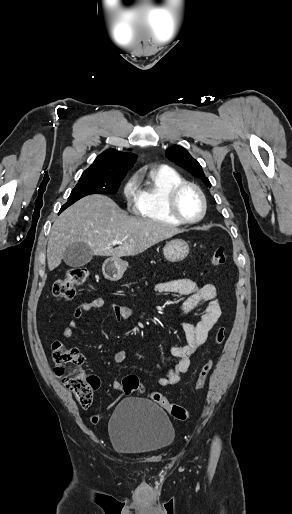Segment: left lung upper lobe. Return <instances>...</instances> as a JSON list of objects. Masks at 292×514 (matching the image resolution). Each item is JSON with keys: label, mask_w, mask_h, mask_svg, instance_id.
<instances>
[{"label": "left lung upper lobe", "mask_w": 292, "mask_h": 514, "mask_svg": "<svg viewBox=\"0 0 292 514\" xmlns=\"http://www.w3.org/2000/svg\"><path fill=\"white\" fill-rule=\"evenodd\" d=\"M165 155L169 160L184 168L193 176L200 178L206 186L211 187V183L205 177L201 165L185 148L177 145L171 146L166 150Z\"/></svg>", "instance_id": "1"}]
</instances>
